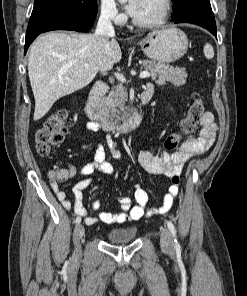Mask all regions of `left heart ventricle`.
<instances>
[{
    "label": "left heart ventricle",
    "instance_id": "b2bd125f",
    "mask_svg": "<svg viewBox=\"0 0 247 296\" xmlns=\"http://www.w3.org/2000/svg\"><path fill=\"white\" fill-rule=\"evenodd\" d=\"M161 9V0H142L134 18L141 22L152 21L160 15Z\"/></svg>",
    "mask_w": 247,
    "mask_h": 296
}]
</instances>
